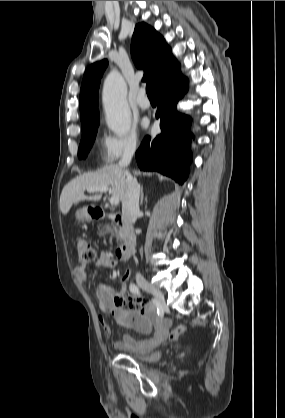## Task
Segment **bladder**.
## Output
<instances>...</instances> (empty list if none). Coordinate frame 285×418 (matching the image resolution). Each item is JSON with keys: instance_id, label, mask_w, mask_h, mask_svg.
I'll return each mask as SVG.
<instances>
[{"instance_id": "obj_1", "label": "bladder", "mask_w": 285, "mask_h": 418, "mask_svg": "<svg viewBox=\"0 0 285 418\" xmlns=\"http://www.w3.org/2000/svg\"><path fill=\"white\" fill-rule=\"evenodd\" d=\"M128 356L140 362H153L160 359L161 353L155 350L130 351Z\"/></svg>"}]
</instances>
